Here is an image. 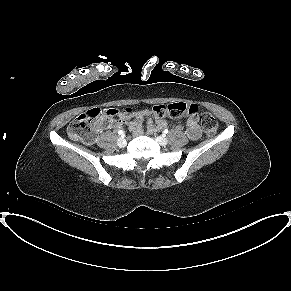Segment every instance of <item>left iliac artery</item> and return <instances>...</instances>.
Returning a JSON list of instances; mask_svg holds the SVG:
<instances>
[{
    "instance_id": "44dca946",
    "label": "left iliac artery",
    "mask_w": 291,
    "mask_h": 291,
    "mask_svg": "<svg viewBox=\"0 0 291 291\" xmlns=\"http://www.w3.org/2000/svg\"><path fill=\"white\" fill-rule=\"evenodd\" d=\"M168 132H169L168 129H165V130L163 131L164 134H167Z\"/></svg>"
}]
</instances>
